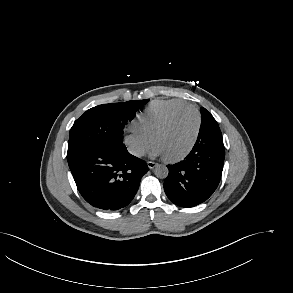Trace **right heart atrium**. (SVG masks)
I'll return each mask as SVG.
<instances>
[{
    "label": "right heart atrium",
    "instance_id": "right-heart-atrium-1",
    "mask_svg": "<svg viewBox=\"0 0 293 293\" xmlns=\"http://www.w3.org/2000/svg\"><path fill=\"white\" fill-rule=\"evenodd\" d=\"M123 142L128 151L135 157H142L150 148L151 139L135 129H129L124 137Z\"/></svg>",
    "mask_w": 293,
    "mask_h": 293
}]
</instances>
